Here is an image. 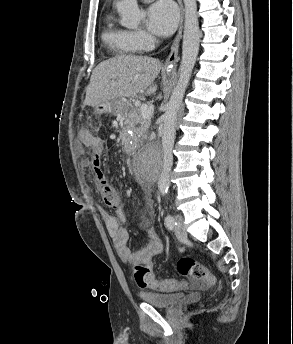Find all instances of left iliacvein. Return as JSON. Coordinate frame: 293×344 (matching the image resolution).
Returning <instances> with one entry per match:
<instances>
[{
    "label": "left iliac vein",
    "mask_w": 293,
    "mask_h": 344,
    "mask_svg": "<svg viewBox=\"0 0 293 344\" xmlns=\"http://www.w3.org/2000/svg\"><path fill=\"white\" fill-rule=\"evenodd\" d=\"M175 221H176V226H175V235L179 239H184L187 237V231L186 227L184 224V219L182 215L177 214L175 215Z\"/></svg>",
    "instance_id": "4c4485c4"
}]
</instances>
